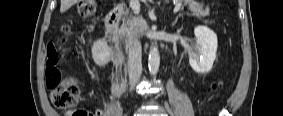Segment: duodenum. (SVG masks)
<instances>
[{
  "label": "duodenum",
  "mask_w": 283,
  "mask_h": 116,
  "mask_svg": "<svg viewBox=\"0 0 283 116\" xmlns=\"http://www.w3.org/2000/svg\"><path fill=\"white\" fill-rule=\"evenodd\" d=\"M122 13H123V7L116 6L108 12L105 18V30L110 38L111 46L117 53V62L119 64L124 63L125 53L120 48L115 31H116L117 24L122 16ZM123 85H124V82H120L118 86L122 87Z\"/></svg>",
  "instance_id": "obj_1"
}]
</instances>
